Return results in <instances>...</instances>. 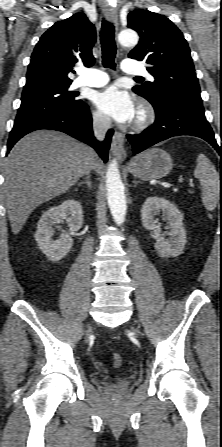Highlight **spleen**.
<instances>
[{"label":"spleen","mask_w":222,"mask_h":447,"mask_svg":"<svg viewBox=\"0 0 222 447\" xmlns=\"http://www.w3.org/2000/svg\"><path fill=\"white\" fill-rule=\"evenodd\" d=\"M194 175L202 185V202L207 210L215 209L220 194V178L215 166L204 155L199 154Z\"/></svg>","instance_id":"1"}]
</instances>
